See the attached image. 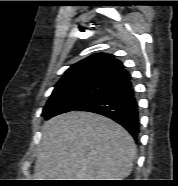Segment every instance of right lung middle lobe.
Wrapping results in <instances>:
<instances>
[{
	"label": "right lung middle lobe",
	"instance_id": "1",
	"mask_svg": "<svg viewBox=\"0 0 178 186\" xmlns=\"http://www.w3.org/2000/svg\"><path fill=\"white\" fill-rule=\"evenodd\" d=\"M109 86L107 84H86L53 91L43 109L42 116L49 119L61 113L77 110Z\"/></svg>",
	"mask_w": 178,
	"mask_h": 186
}]
</instances>
